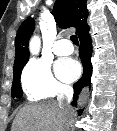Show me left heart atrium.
<instances>
[{
    "instance_id": "39dd6f15",
    "label": "left heart atrium",
    "mask_w": 117,
    "mask_h": 131,
    "mask_svg": "<svg viewBox=\"0 0 117 131\" xmlns=\"http://www.w3.org/2000/svg\"><path fill=\"white\" fill-rule=\"evenodd\" d=\"M55 70L61 80L65 82H72L79 77L81 73V66L75 59L63 58L56 62Z\"/></svg>"
}]
</instances>
